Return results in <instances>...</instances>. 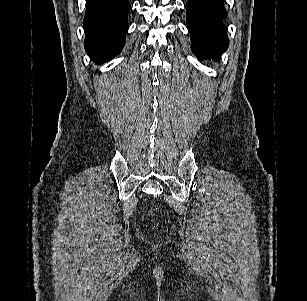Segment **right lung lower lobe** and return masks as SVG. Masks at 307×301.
<instances>
[{
    "label": "right lung lower lobe",
    "mask_w": 307,
    "mask_h": 301,
    "mask_svg": "<svg viewBox=\"0 0 307 301\" xmlns=\"http://www.w3.org/2000/svg\"><path fill=\"white\" fill-rule=\"evenodd\" d=\"M130 8L129 0H86L84 46L96 64L108 62L122 51Z\"/></svg>",
    "instance_id": "right-lung-lower-lobe-1"
}]
</instances>
